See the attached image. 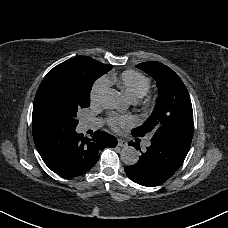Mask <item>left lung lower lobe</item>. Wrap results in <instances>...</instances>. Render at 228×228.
I'll use <instances>...</instances> for the list:
<instances>
[{"label": "left lung lower lobe", "mask_w": 228, "mask_h": 228, "mask_svg": "<svg viewBox=\"0 0 228 228\" xmlns=\"http://www.w3.org/2000/svg\"><path fill=\"white\" fill-rule=\"evenodd\" d=\"M133 134V133H132ZM133 136H136L133 134ZM129 145L140 150L138 139ZM191 142L152 135L151 145L147 147L136 164L124 168L127 176L134 182L148 187L160 185L167 181L182 165Z\"/></svg>", "instance_id": "1"}]
</instances>
